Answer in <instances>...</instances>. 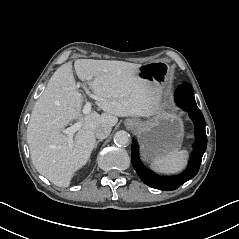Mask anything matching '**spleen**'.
I'll return each mask as SVG.
<instances>
[{
    "label": "spleen",
    "instance_id": "spleen-1",
    "mask_svg": "<svg viewBox=\"0 0 239 239\" xmlns=\"http://www.w3.org/2000/svg\"><path fill=\"white\" fill-rule=\"evenodd\" d=\"M187 157L188 152L186 150L171 152L164 157L153 161V163H151V167L154 170L166 173H175L185 168Z\"/></svg>",
    "mask_w": 239,
    "mask_h": 239
}]
</instances>
